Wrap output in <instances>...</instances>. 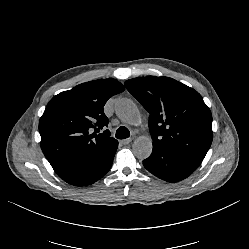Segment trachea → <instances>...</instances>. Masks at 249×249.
<instances>
[{"instance_id":"3493384b","label":"trachea","mask_w":249,"mask_h":249,"mask_svg":"<svg viewBox=\"0 0 249 249\" xmlns=\"http://www.w3.org/2000/svg\"><path fill=\"white\" fill-rule=\"evenodd\" d=\"M129 136H130V131L125 126L119 127L115 133V137L118 139H125L128 138Z\"/></svg>"}]
</instances>
